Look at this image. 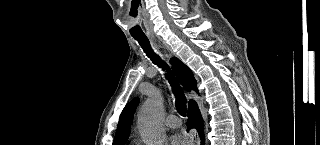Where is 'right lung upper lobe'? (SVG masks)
<instances>
[{"mask_svg":"<svg viewBox=\"0 0 320 145\" xmlns=\"http://www.w3.org/2000/svg\"><path fill=\"white\" fill-rule=\"evenodd\" d=\"M172 69L176 75L178 82L188 91L195 90L198 92L196 87V80L193 76L192 71L178 58L173 57L170 60ZM139 99L135 98L128 103L123 109L120 118L118 128L115 134L113 145H124L125 141L129 137L130 124L133 120L134 111L138 105ZM194 101L191 100L189 105Z\"/></svg>","mask_w":320,"mask_h":145,"instance_id":"cb5924a9","label":"right lung upper lobe"}]
</instances>
